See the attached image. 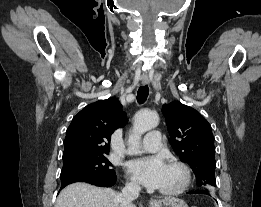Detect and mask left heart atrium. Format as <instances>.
<instances>
[{
  "mask_svg": "<svg viewBox=\"0 0 261 207\" xmlns=\"http://www.w3.org/2000/svg\"><path fill=\"white\" fill-rule=\"evenodd\" d=\"M165 166L159 157L133 160L128 165L133 176L143 185L151 188L159 187Z\"/></svg>",
  "mask_w": 261,
  "mask_h": 207,
  "instance_id": "left-heart-atrium-1",
  "label": "left heart atrium"
}]
</instances>
